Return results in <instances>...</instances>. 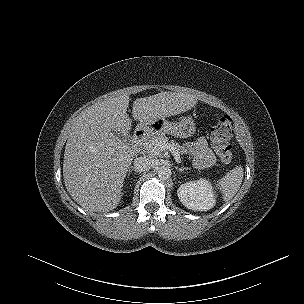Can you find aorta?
I'll return each instance as SVG.
<instances>
[{
    "label": "aorta",
    "instance_id": "762f6f07",
    "mask_svg": "<svg viewBox=\"0 0 304 304\" xmlns=\"http://www.w3.org/2000/svg\"><path fill=\"white\" fill-rule=\"evenodd\" d=\"M171 175H172L171 169H169L168 167L162 166L158 169V177L161 180H167L171 177Z\"/></svg>",
    "mask_w": 304,
    "mask_h": 304
}]
</instances>
